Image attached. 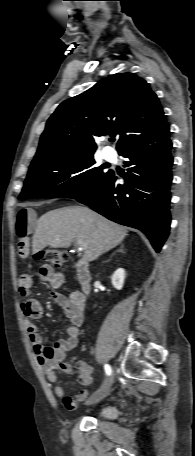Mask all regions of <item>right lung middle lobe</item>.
I'll list each match as a JSON object with an SVG mask.
<instances>
[{"instance_id": "dd1d6c3e", "label": "right lung middle lobe", "mask_w": 195, "mask_h": 456, "mask_svg": "<svg viewBox=\"0 0 195 456\" xmlns=\"http://www.w3.org/2000/svg\"><path fill=\"white\" fill-rule=\"evenodd\" d=\"M93 155L61 158L40 163L29 169L20 200L32 197L76 198L85 195L108 172L93 167ZM78 173L71 177V174Z\"/></svg>"}]
</instances>
